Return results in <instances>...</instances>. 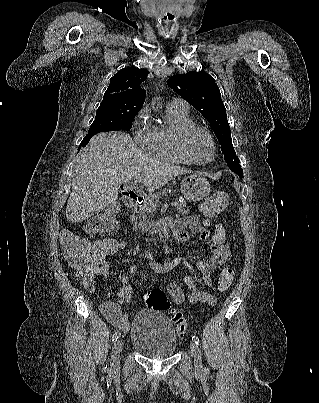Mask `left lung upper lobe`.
<instances>
[{
    "label": "left lung upper lobe",
    "instance_id": "5c2ea615",
    "mask_svg": "<svg viewBox=\"0 0 319 403\" xmlns=\"http://www.w3.org/2000/svg\"><path fill=\"white\" fill-rule=\"evenodd\" d=\"M167 84L210 123L221 145L229 168L243 177V170L234 150L225 106L215 79L205 72H188L170 77Z\"/></svg>",
    "mask_w": 319,
    "mask_h": 403
}]
</instances>
